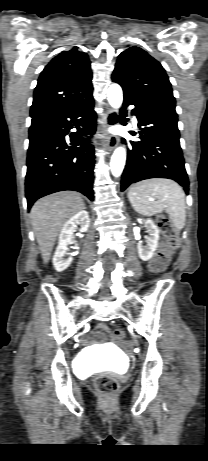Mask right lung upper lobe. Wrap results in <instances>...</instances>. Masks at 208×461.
<instances>
[{"label": "right lung upper lobe", "instance_id": "obj_1", "mask_svg": "<svg viewBox=\"0 0 208 461\" xmlns=\"http://www.w3.org/2000/svg\"><path fill=\"white\" fill-rule=\"evenodd\" d=\"M92 72L86 53L73 47L41 72L30 110L32 122L82 106L92 99Z\"/></svg>", "mask_w": 208, "mask_h": 461}]
</instances>
